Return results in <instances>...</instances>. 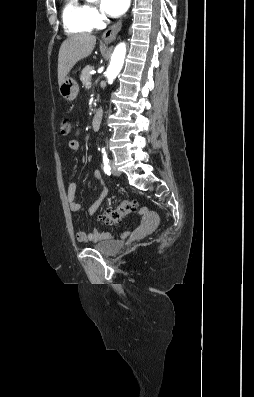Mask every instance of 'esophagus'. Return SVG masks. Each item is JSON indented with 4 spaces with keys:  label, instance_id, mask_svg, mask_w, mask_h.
I'll return each mask as SVG.
<instances>
[{
    "label": "esophagus",
    "instance_id": "1",
    "mask_svg": "<svg viewBox=\"0 0 254 397\" xmlns=\"http://www.w3.org/2000/svg\"><path fill=\"white\" fill-rule=\"evenodd\" d=\"M121 26H122V21L120 20L111 27H109L104 32L102 39L107 43L112 42L116 38L118 32L120 31Z\"/></svg>",
    "mask_w": 254,
    "mask_h": 397
}]
</instances>
